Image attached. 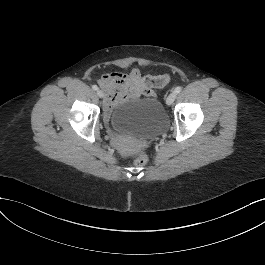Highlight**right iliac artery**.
Here are the masks:
<instances>
[{
    "instance_id": "obj_1",
    "label": "right iliac artery",
    "mask_w": 265,
    "mask_h": 265,
    "mask_svg": "<svg viewBox=\"0 0 265 265\" xmlns=\"http://www.w3.org/2000/svg\"><path fill=\"white\" fill-rule=\"evenodd\" d=\"M92 89H93V90H98V86H97V85H93V86H92Z\"/></svg>"
}]
</instances>
